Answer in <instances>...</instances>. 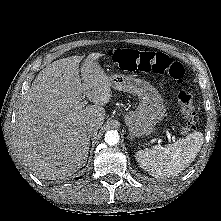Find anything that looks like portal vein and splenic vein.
<instances>
[{"mask_svg":"<svg viewBox=\"0 0 221 221\" xmlns=\"http://www.w3.org/2000/svg\"><path fill=\"white\" fill-rule=\"evenodd\" d=\"M83 104H87L86 100L83 101Z\"/></svg>","mask_w":221,"mask_h":221,"instance_id":"18ae733b","label":"portal vein and splenic vein"}]
</instances>
